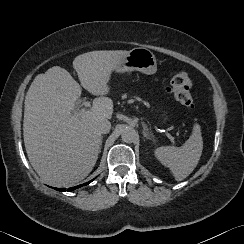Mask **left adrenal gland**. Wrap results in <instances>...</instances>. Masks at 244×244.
Segmentation results:
<instances>
[{"label": "left adrenal gland", "instance_id": "a2214340", "mask_svg": "<svg viewBox=\"0 0 244 244\" xmlns=\"http://www.w3.org/2000/svg\"><path fill=\"white\" fill-rule=\"evenodd\" d=\"M142 127H143V136L146 139H154V135L149 132V129H148L147 125L144 122H142Z\"/></svg>", "mask_w": 244, "mask_h": 244}]
</instances>
